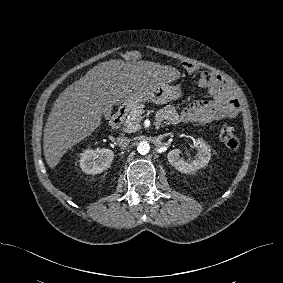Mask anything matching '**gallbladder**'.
I'll list each match as a JSON object with an SVG mask.
<instances>
[{
    "instance_id": "bac80fb5",
    "label": "gallbladder",
    "mask_w": 283,
    "mask_h": 283,
    "mask_svg": "<svg viewBox=\"0 0 283 283\" xmlns=\"http://www.w3.org/2000/svg\"><path fill=\"white\" fill-rule=\"evenodd\" d=\"M111 112L105 111L104 115L105 117L109 118L110 117Z\"/></svg>"
}]
</instances>
